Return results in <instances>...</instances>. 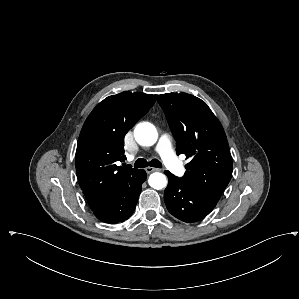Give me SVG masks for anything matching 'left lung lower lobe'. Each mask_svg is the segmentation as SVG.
Returning a JSON list of instances; mask_svg holds the SVG:
<instances>
[{
    "instance_id": "1",
    "label": "left lung lower lobe",
    "mask_w": 299,
    "mask_h": 299,
    "mask_svg": "<svg viewBox=\"0 0 299 299\" xmlns=\"http://www.w3.org/2000/svg\"><path fill=\"white\" fill-rule=\"evenodd\" d=\"M164 200L169 212L183 222H196L205 218L216 206L217 201L184 183L169 171Z\"/></svg>"
}]
</instances>
